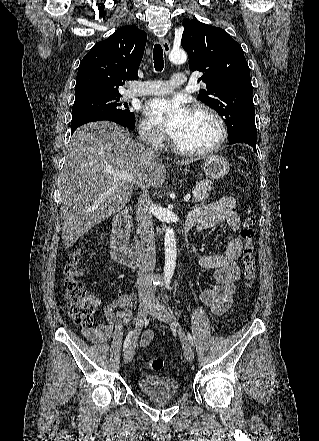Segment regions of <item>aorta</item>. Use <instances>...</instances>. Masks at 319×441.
I'll return each mask as SVG.
<instances>
[{
  "instance_id": "aorta-1",
  "label": "aorta",
  "mask_w": 319,
  "mask_h": 441,
  "mask_svg": "<svg viewBox=\"0 0 319 441\" xmlns=\"http://www.w3.org/2000/svg\"><path fill=\"white\" fill-rule=\"evenodd\" d=\"M169 59L174 64H183L187 60V54L184 50H172L169 54ZM165 246V265H164V279L166 283H169L173 277L176 257H177V247L175 234L172 228H167L164 237Z\"/></svg>"
}]
</instances>
